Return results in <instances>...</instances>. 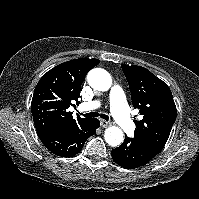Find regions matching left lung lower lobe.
<instances>
[{"label":"left lung lower lobe","mask_w":199,"mask_h":199,"mask_svg":"<svg viewBox=\"0 0 199 199\" xmlns=\"http://www.w3.org/2000/svg\"><path fill=\"white\" fill-rule=\"evenodd\" d=\"M159 151L140 142L136 138L125 135V140L119 147L112 149L111 155L114 162L126 169L144 166L152 160Z\"/></svg>","instance_id":"left-lung-lower-lobe-1"}]
</instances>
